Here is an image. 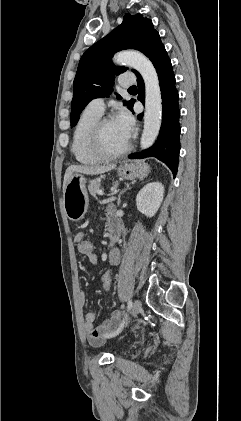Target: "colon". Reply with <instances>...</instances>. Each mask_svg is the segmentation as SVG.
Here are the masks:
<instances>
[{
    "label": "colon",
    "mask_w": 241,
    "mask_h": 421,
    "mask_svg": "<svg viewBox=\"0 0 241 421\" xmlns=\"http://www.w3.org/2000/svg\"><path fill=\"white\" fill-rule=\"evenodd\" d=\"M78 250L82 254L93 252L94 244L89 240H84L78 245ZM100 282L103 289L109 292L113 285V274L111 270H106L101 274Z\"/></svg>",
    "instance_id": "1"
}]
</instances>
